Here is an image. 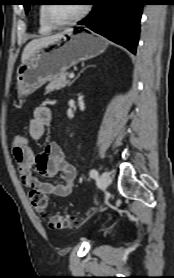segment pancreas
<instances>
[{"instance_id": "pancreas-1", "label": "pancreas", "mask_w": 174, "mask_h": 278, "mask_svg": "<svg viewBox=\"0 0 174 278\" xmlns=\"http://www.w3.org/2000/svg\"><path fill=\"white\" fill-rule=\"evenodd\" d=\"M67 75V73H63L58 77L52 79L45 89L46 93H51L54 90H60L64 88L69 83V81L67 80Z\"/></svg>"}]
</instances>
